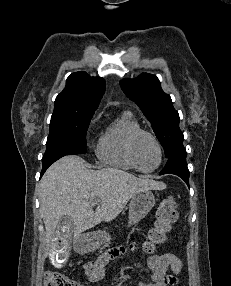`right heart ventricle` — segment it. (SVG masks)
<instances>
[{
    "label": "right heart ventricle",
    "instance_id": "e07e8e85",
    "mask_svg": "<svg viewBox=\"0 0 231 286\" xmlns=\"http://www.w3.org/2000/svg\"><path fill=\"white\" fill-rule=\"evenodd\" d=\"M139 128L133 113L124 111L102 131L95 148L99 161L111 167L135 170L127 154V141L130 134Z\"/></svg>",
    "mask_w": 231,
    "mask_h": 286
}]
</instances>
